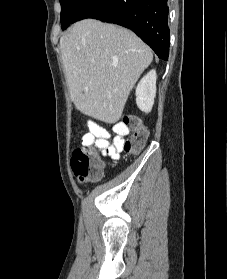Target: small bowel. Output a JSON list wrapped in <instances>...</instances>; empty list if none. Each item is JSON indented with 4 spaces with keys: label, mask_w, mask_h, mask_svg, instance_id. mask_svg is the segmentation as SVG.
Returning <instances> with one entry per match:
<instances>
[{
    "label": "small bowel",
    "mask_w": 227,
    "mask_h": 279,
    "mask_svg": "<svg viewBox=\"0 0 227 279\" xmlns=\"http://www.w3.org/2000/svg\"><path fill=\"white\" fill-rule=\"evenodd\" d=\"M89 134L93 138L92 145L103 156L109 157L112 161H118L121 153L125 151V137L128 135V128L121 124H115L113 126V134L107 131L98 121L92 120L88 124ZM112 142H109V139Z\"/></svg>",
    "instance_id": "obj_1"
}]
</instances>
